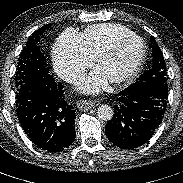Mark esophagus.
<instances>
[{"mask_svg": "<svg viewBox=\"0 0 183 183\" xmlns=\"http://www.w3.org/2000/svg\"><path fill=\"white\" fill-rule=\"evenodd\" d=\"M98 105L97 101L81 99L77 102V107L81 111H86L91 108H94Z\"/></svg>", "mask_w": 183, "mask_h": 183, "instance_id": "1", "label": "esophagus"}]
</instances>
